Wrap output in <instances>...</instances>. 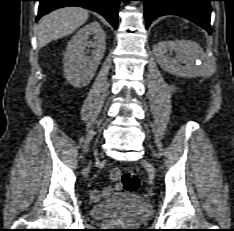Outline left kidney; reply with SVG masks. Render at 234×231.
Instances as JSON below:
<instances>
[{
	"label": "left kidney",
	"mask_w": 234,
	"mask_h": 231,
	"mask_svg": "<svg viewBox=\"0 0 234 231\" xmlns=\"http://www.w3.org/2000/svg\"><path fill=\"white\" fill-rule=\"evenodd\" d=\"M167 51H175L176 57L170 58ZM153 52L161 68L180 77L210 76L215 71V63L209 59L196 42L190 40L162 41L153 46ZM185 64L181 66L180 64Z\"/></svg>",
	"instance_id": "left-kidney-1"
}]
</instances>
